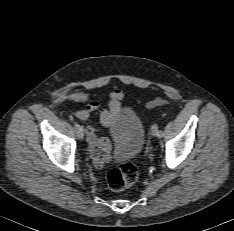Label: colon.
<instances>
[{"mask_svg": "<svg viewBox=\"0 0 234 231\" xmlns=\"http://www.w3.org/2000/svg\"><path fill=\"white\" fill-rule=\"evenodd\" d=\"M158 102L154 101L151 105L155 106ZM138 176V171L132 162H124L111 169L107 175L109 187L114 191H121L132 186Z\"/></svg>", "mask_w": 234, "mask_h": 231, "instance_id": "5ec220e1", "label": "colon"}]
</instances>
